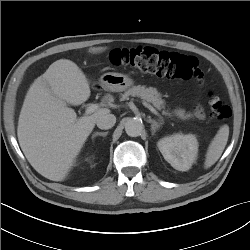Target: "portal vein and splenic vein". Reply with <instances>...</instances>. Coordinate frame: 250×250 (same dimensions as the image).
<instances>
[{
	"label": "portal vein and splenic vein",
	"instance_id": "18ae733b",
	"mask_svg": "<svg viewBox=\"0 0 250 250\" xmlns=\"http://www.w3.org/2000/svg\"><path fill=\"white\" fill-rule=\"evenodd\" d=\"M143 105L145 106V107H147L153 114H155V115H159V113L156 111V109L153 107V106H151L150 104H148L147 102H145V101H143ZM99 105L98 104H89L87 107H86V111H85V113L88 115V114H91V113H93V112H95L96 110H98L99 109Z\"/></svg>",
	"mask_w": 250,
	"mask_h": 250
}]
</instances>
